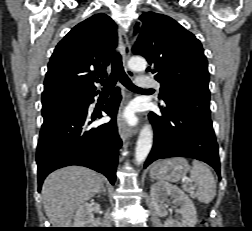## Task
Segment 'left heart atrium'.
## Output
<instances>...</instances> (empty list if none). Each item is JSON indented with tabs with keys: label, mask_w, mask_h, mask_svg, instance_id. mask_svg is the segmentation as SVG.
<instances>
[{
	"label": "left heart atrium",
	"mask_w": 252,
	"mask_h": 231,
	"mask_svg": "<svg viewBox=\"0 0 252 231\" xmlns=\"http://www.w3.org/2000/svg\"><path fill=\"white\" fill-rule=\"evenodd\" d=\"M123 120L129 124H132L135 122V116L134 113L131 110L126 111L123 116Z\"/></svg>",
	"instance_id": "39dd6f15"
}]
</instances>
